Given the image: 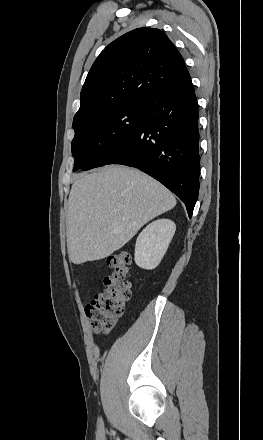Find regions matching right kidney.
Listing matches in <instances>:
<instances>
[{"label": "right kidney", "mask_w": 263, "mask_h": 440, "mask_svg": "<svg viewBox=\"0 0 263 440\" xmlns=\"http://www.w3.org/2000/svg\"><path fill=\"white\" fill-rule=\"evenodd\" d=\"M175 230V223L169 219H158L147 225L136 240L135 263L146 270L156 268L165 255Z\"/></svg>", "instance_id": "1"}]
</instances>
